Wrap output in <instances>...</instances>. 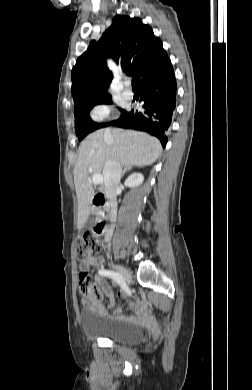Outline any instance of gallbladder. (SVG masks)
Instances as JSON below:
<instances>
[{
  "instance_id": "obj_1",
  "label": "gallbladder",
  "mask_w": 252,
  "mask_h": 390,
  "mask_svg": "<svg viewBox=\"0 0 252 390\" xmlns=\"http://www.w3.org/2000/svg\"><path fill=\"white\" fill-rule=\"evenodd\" d=\"M93 226V219L89 218L83 226V230H90Z\"/></svg>"
}]
</instances>
